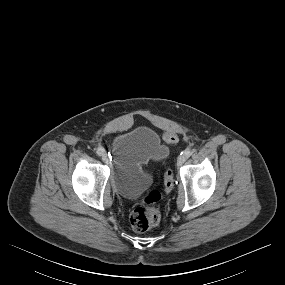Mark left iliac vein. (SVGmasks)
I'll return each mask as SVG.
<instances>
[{
	"label": "left iliac vein",
	"mask_w": 285,
	"mask_h": 285,
	"mask_svg": "<svg viewBox=\"0 0 285 285\" xmlns=\"http://www.w3.org/2000/svg\"><path fill=\"white\" fill-rule=\"evenodd\" d=\"M187 157L185 155H180L177 159V165L181 166L185 161H186Z\"/></svg>",
	"instance_id": "4c4485c4"
}]
</instances>
